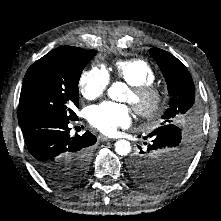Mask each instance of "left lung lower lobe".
<instances>
[{
	"mask_svg": "<svg viewBox=\"0 0 221 221\" xmlns=\"http://www.w3.org/2000/svg\"><path fill=\"white\" fill-rule=\"evenodd\" d=\"M141 166H142V164L140 162V158L138 157V155L135 154L134 156H132V158L129 160L130 172L139 170L141 168Z\"/></svg>",
	"mask_w": 221,
	"mask_h": 221,
	"instance_id": "1",
	"label": "left lung lower lobe"
}]
</instances>
